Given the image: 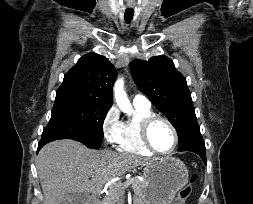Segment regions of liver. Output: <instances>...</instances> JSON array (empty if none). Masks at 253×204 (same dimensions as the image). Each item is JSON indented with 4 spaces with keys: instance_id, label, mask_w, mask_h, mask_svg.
Wrapping results in <instances>:
<instances>
[{
    "instance_id": "liver-1",
    "label": "liver",
    "mask_w": 253,
    "mask_h": 204,
    "mask_svg": "<svg viewBox=\"0 0 253 204\" xmlns=\"http://www.w3.org/2000/svg\"><path fill=\"white\" fill-rule=\"evenodd\" d=\"M147 162L142 156L92 150L73 140L48 143L39 152L36 166L43 204H62L69 194L95 196L109 180Z\"/></svg>"
}]
</instances>
